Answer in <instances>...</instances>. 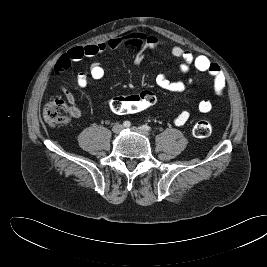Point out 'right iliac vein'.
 I'll list each match as a JSON object with an SVG mask.
<instances>
[{"label":"right iliac vein","instance_id":"1","mask_svg":"<svg viewBox=\"0 0 267 267\" xmlns=\"http://www.w3.org/2000/svg\"><path fill=\"white\" fill-rule=\"evenodd\" d=\"M123 129V126L121 124H115L113 127H112V131L114 133H120Z\"/></svg>","mask_w":267,"mask_h":267}]
</instances>
